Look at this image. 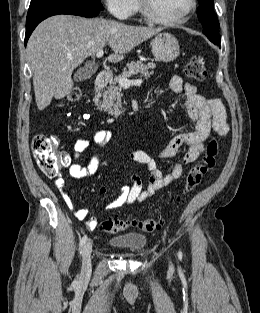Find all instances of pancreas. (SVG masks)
I'll list each match as a JSON object with an SVG mask.
<instances>
[{
	"label": "pancreas",
	"mask_w": 260,
	"mask_h": 313,
	"mask_svg": "<svg viewBox=\"0 0 260 313\" xmlns=\"http://www.w3.org/2000/svg\"><path fill=\"white\" fill-rule=\"evenodd\" d=\"M155 67L156 66L153 63L145 65L140 61L127 64V68H124L123 72L118 77L111 80L108 88L97 96V98L102 97L97 103L98 109L104 110L118 118L123 113L121 103L122 87L119 85V80L121 78H129L138 73H140L141 76L148 78L153 75L154 72L152 69Z\"/></svg>",
	"instance_id": "cf45deb5"
}]
</instances>
